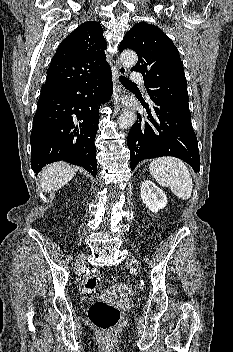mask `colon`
Listing matches in <instances>:
<instances>
[{
	"label": "colon",
	"instance_id": "1",
	"mask_svg": "<svg viewBox=\"0 0 233 352\" xmlns=\"http://www.w3.org/2000/svg\"><path fill=\"white\" fill-rule=\"evenodd\" d=\"M98 284V277L95 272L88 274L83 281V292L92 294ZM88 317L91 323L103 332H110L118 325L121 318L119 308L105 301H95L89 308Z\"/></svg>",
	"mask_w": 233,
	"mask_h": 352
}]
</instances>
